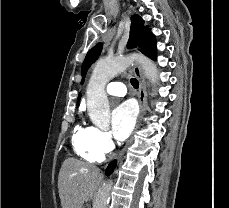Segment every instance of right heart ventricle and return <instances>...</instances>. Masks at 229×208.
I'll return each mask as SVG.
<instances>
[{"mask_svg": "<svg viewBox=\"0 0 229 208\" xmlns=\"http://www.w3.org/2000/svg\"><path fill=\"white\" fill-rule=\"evenodd\" d=\"M93 131L94 127L77 125L72 134V147L74 152L89 162L101 160L103 157V154L98 152L92 144Z\"/></svg>", "mask_w": 229, "mask_h": 208, "instance_id": "obj_1", "label": "right heart ventricle"}]
</instances>
